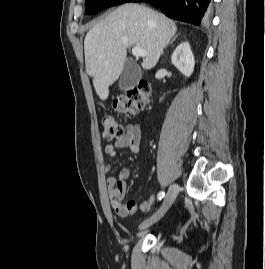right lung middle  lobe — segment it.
<instances>
[{"mask_svg": "<svg viewBox=\"0 0 265 269\" xmlns=\"http://www.w3.org/2000/svg\"><path fill=\"white\" fill-rule=\"evenodd\" d=\"M129 0H85V13H97L106 7L116 6Z\"/></svg>", "mask_w": 265, "mask_h": 269, "instance_id": "right-lung-middle-lobe-1", "label": "right lung middle lobe"}]
</instances>
